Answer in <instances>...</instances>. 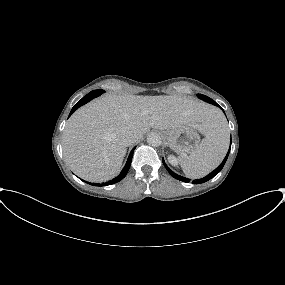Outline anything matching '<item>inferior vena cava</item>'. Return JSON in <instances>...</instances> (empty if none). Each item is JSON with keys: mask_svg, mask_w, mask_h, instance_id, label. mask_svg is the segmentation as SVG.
<instances>
[{"mask_svg": "<svg viewBox=\"0 0 285 285\" xmlns=\"http://www.w3.org/2000/svg\"><path fill=\"white\" fill-rule=\"evenodd\" d=\"M122 141L126 146H129L137 141V136L133 133H126L122 136Z\"/></svg>", "mask_w": 285, "mask_h": 285, "instance_id": "inferior-vena-cava-1", "label": "inferior vena cava"}]
</instances>
